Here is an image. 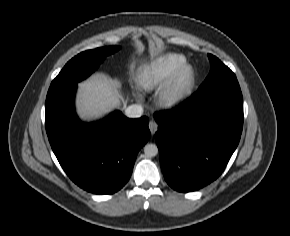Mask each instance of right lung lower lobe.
Returning <instances> with one entry per match:
<instances>
[{"instance_id":"1","label":"right lung lower lobe","mask_w":290,"mask_h":236,"mask_svg":"<svg viewBox=\"0 0 290 236\" xmlns=\"http://www.w3.org/2000/svg\"><path fill=\"white\" fill-rule=\"evenodd\" d=\"M77 83L50 86L45 126L52 150L69 178L94 194H112L129 180L139 150L150 138L148 118L116 111L82 123L74 108Z\"/></svg>"}]
</instances>
